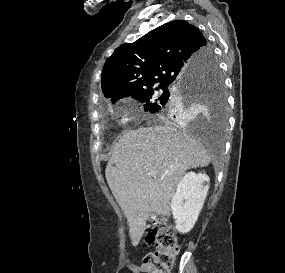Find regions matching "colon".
<instances>
[{"mask_svg": "<svg viewBox=\"0 0 285 273\" xmlns=\"http://www.w3.org/2000/svg\"><path fill=\"white\" fill-rule=\"evenodd\" d=\"M155 250L144 257L146 273H170L179 252V241L175 233L164 223H159L146 238Z\"/></svg>", "mask_w": 285, "mask_h": 273, "instance_id": "1", "label": "colon"}]
</instances>
